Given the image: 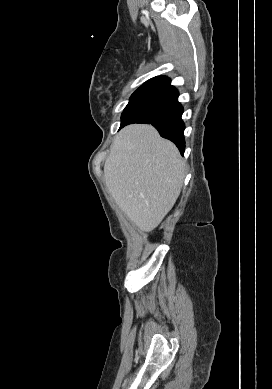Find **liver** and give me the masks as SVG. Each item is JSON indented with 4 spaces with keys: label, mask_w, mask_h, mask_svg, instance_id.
<instances>
[{
    "label": "liver",
    "mask_w": 272,
    "mask_h": 389,
    "mask_svg": "<svg viewBox=\"0 0 272 389\" xmlns=\"http://www.w3.org/2000/svg\"><path fill=\"white\" fill-rule=\"evenodd\" d=\"M185 177L176 146L151 125L133 124L115 137L104 165L109 193L141 231L154 230L175 204Z\"/></svg>",
    "instance_id": "liver-1"
}]
</instances>
